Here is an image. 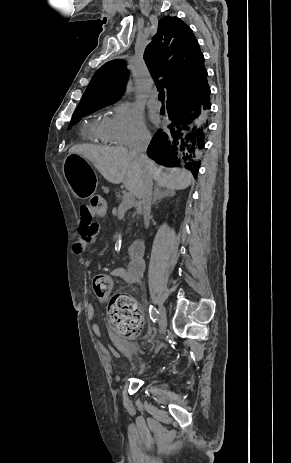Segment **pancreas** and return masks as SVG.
Returning a JSON list of instances; mask_svg holds the SVG:
<instances>
[{
	"instance_id": "pancreas-1",
	"label": "pancreas",
	"mask_w": 291,
	"mask_h": 463,
	"mask_svg": "<svg viewBox=\"0 0 291 463\" xmlns=\"http://www.w3.org/2000/svg\"><path fill=\"white\" fill-rule=\"evenodd\" d=\"M115 195H116V198H117L118 200H120V199L123 198V196L120 194V192H116Z\"/></svg>"
}]
</instances>
